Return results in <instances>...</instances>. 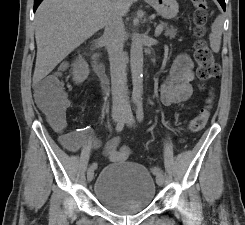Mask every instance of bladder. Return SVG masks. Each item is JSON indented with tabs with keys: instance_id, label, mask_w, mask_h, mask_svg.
Returning a JSON list of instances; mask_svg holds the SVG:
<instances>
[{
	"instance_id": "obj_1",
	"label": "bladder",
	"mask_w": 245,
	"mask_h": 225,
	"mask_svg": "<svg viewBox=\"0 0 245 225\" xmlns=\"http://www.w3.org/2000/svg\"><path fill=\"white\" fill-rule=\"evenodd\" d=\"M156 195L152 172L125 160L103 167L93 187V196L103 208L123 216L149 208Z\"/></svg>"
}]
</instances>
